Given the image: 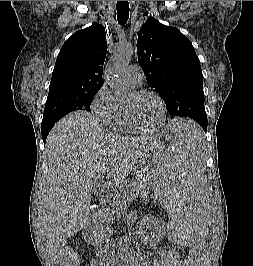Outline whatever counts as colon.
<instances>
[{"mask_svg":"<svg viewBox=\"0 0 253 266\" xmlns=\"http://www.w3.org/2000/svg\"><path fill=\"white\" fill-rule=\"evenodd\" d=\"M207 249V242H203V248H192L189 252L185 266H193L201 260ZM60 266H78L79 258L75 250L69 249L62 253Z\"/></svg>","mask_w":253,"mask_h":266,"instance_id":"5ec220e1","label":"colon"}]
</instances>
